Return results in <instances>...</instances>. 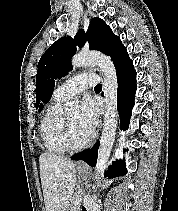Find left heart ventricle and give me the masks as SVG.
Returning a JSON list of instances; mask_svg holds the SVG:
<instances>
[{
    "label": "left heart ventricle",
    "mask_w": 178,
    "mask_h": 211,
    "mask_svg": "<svg viewBox=\"0 0 178 211\" xmlns=\"http://www.w3.org/2000/svg\"><path fill=\"white\" fill-rule=\"evenodd\" d=\"M74 141L78 144L83 143L89 135L80 127L78 114L70 115L67 117Z\"/></svg>",
    "instance_id": "b2bd125f"
}]
</instances>
